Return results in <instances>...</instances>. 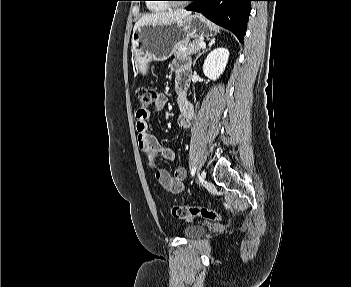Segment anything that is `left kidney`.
Wrapping results in <instances>:
<instances>
[{
    "instance_id": "1",
    "label": "left kidney",
    "mask_w": 351,
    "mask_h": 287,
    "mask_svg": "<svg viewBox=\"0 0 351 287\" xmlns=\"http://www.w3.org/2000/svg\"><path fill=\"white\" fill-rule=\"evenodd\" d=\"M229 51L224 47L213 49L206 57L203 64V73L209 79L215 81L226 68Z\"/></svg>"
}]
</instances>
